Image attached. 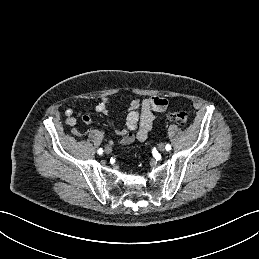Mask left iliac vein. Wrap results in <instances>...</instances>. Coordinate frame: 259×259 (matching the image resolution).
Instances as JSON below:
<instances>
[{"instance_id":"1","label":"left iliac vein","mask_w":259,"mask_h":259,"mask_svg":"<svg viewBox=\"0 0 259 259\" xmlns=\"http://www.w3.org/2000/svg\"><path fill=\"white\" fill-rule=\"evenodd\" d=\"M158 149H159V151L164 152V151H165V145H164V143H160V144L158 145Z\"/></svg>"}]
</instances>
